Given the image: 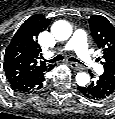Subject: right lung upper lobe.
I'll use <instances>...</instances> for the list:
<instances>
[{
    "label": "right lung upper lobe",
    "mask_w": 115,
    "mask_h": 119,
    "mask_svg": "<svg viewBox=\"0 0 115 119\" xmlns=\"http://www.w3.org/2000/svg\"><path fill=\"white\" fill-rule=\"evenodd\" d=\"M50 23L42 14L29 17L18 29L5 50L4 70L10 83L50 67L40 60L41 48L38 35Z\"/></svg>",
    "instance_id": "1"
}]
</instances>
